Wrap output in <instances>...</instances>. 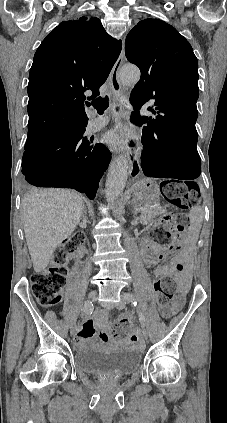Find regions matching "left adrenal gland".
I'll list each match as a JSON object with an SVG mask.
<instances>
[{"mask_svg": "<svg viewBox=\"0 0 227 423\" xmlns=\"http://www.w3.org/2000/svg\"><path fill=\"white\" fill-rule=\"evenodd\" d=\"M132 213H134V215H138V204L136 202V204H132Z\"/></svg>", "mask_w": 227, "mask_h": 423, "instance_id": "left-adrenal-gland-1", "label": "left adrenal gland"}]
</instances>
